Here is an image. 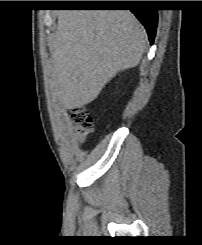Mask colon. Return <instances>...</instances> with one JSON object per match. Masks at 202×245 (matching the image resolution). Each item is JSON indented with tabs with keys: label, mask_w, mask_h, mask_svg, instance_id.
<instances>
[{
	"label": "colon",
	"mask_w": 202,
	"mask_h": 245,
	"mask_svg": "<svg viewBox=\"0 0 202 245\" xmlns=\"http://www.w3.org/2000/svg\"><path fill=\"white\" fill-rule=\"evenodd\" d=\"M70 116L75 127V134L78 138L83 139L92 128V116L79 106L71 108Z\"/></svg>",
	"instance_id": "5ec220e1"
}]
</instances>
